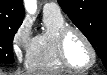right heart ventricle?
Wrapping results in <instances>:
<instances>
[{"label":"right heart ventricle","mask_w":107,"mask_h":75,"mask_svg":"<svg viewBox=\"0 0 107 75\" xmlns=\"http://www.w3.org/2000/svg\"><path fill=\"white\" fill-rule=\"evenodd\" d=\"M44 29L33 37L26 67L35 72H59L65 70L57 56L56 39L59 31L66 26L62 14L44 12Z\"/></svg>","instance_id":"obj_1"}]
</instances>
